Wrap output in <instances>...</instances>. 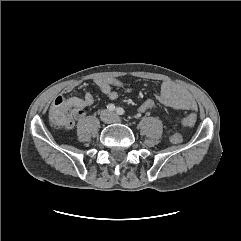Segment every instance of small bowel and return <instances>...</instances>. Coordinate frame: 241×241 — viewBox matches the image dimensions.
<instances>
[{"label": "small bowel", "mask_w": 241, "mask_h": 241, "mask_svg": "<svg viewBox=\"0 0 241 241\" xmlns=\"http://www.w3.org/2000/svg\"><path fill=\"white\" fill-rule=\"evenodd\" d=\"M94 82L101 92L111 100L118 98V92L113 87L123 85V82L116 78H97ZM77 87L78 83L69 84L63 92L69 94ZM156 97L163 105L175 110H197V103L190 92L172 81H162L159 84V93ZM67 102L74 108V118L80 120L84 116L83 109L94 103V97L92 93H86L82 98L72 97Z\"/></svg>", "instance_id": "c3829d8e"}]
</instances>
